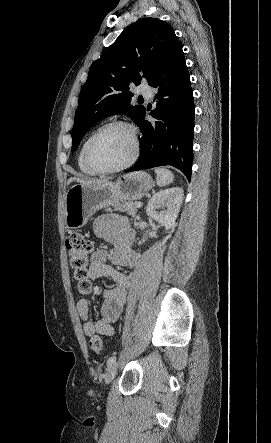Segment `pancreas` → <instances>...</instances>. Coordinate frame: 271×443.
<instances>
[{"label":"pancreas","instance_id":"obj_1","mask_svg":"<svg viewBox=\"0 0 271 443\" xmlns=\"http://www.w3.org/2000/svg\"><path fill=\"white\" fill-rule=\"evenodd\" d=\"M114 210H118V212H127V214H129V216H132V218H135L137 214L135 202H116ZM106 212H112V210H110V208H107Z\"/></svg>","mask_w":271,"mask_h":443}]
</instances>
